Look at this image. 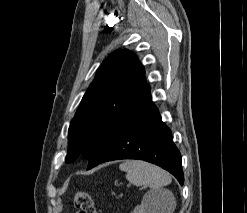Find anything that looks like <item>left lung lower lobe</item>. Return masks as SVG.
Listing matches in <instances>:
<instances>
[{"mask_svg":"<svg viewBox=\"0 0 247 213\" xmlns=\"http://www.w3.org/2000/svg\"><path fill=\"white\" fill-rule=\"evenodd\" d=\"M119 159H139L156 164L184 184L180 152L173 143L171 130L161 121L147 84L103 134L88 158L87 169Z\"/></svg>","mask_w":247,"mask_h":213,"instance_id":"left-lung-lower-lobe-1","label":"left lung lower lobe"}]
</instances>
